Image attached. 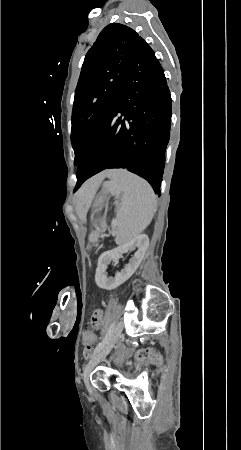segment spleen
Instances as JSON below:
<instances>
[{
  "label": "spleen",
  "instance_id": "spleen-1",
  "mask_svg": "<svg viewBox=\"0 0 241 450\" xmlns=\"http://www.w3.org/2000/svg\"><path fill=\"white\" fill-rule=\"evenodd\" d=\"M107 178L109 182L103 184L105 192L112 196L122 194L121 208L117 212L118 232L115 242L127 244L152 222L156 196L146 180L127 170H110ZM91 236L94 238L96 235L93 233ZM89 241L92 243L94 240L91 238Z\"/></svg>",
  "mask_w": 241,
  "mask_h": 450
}]
</instances>
